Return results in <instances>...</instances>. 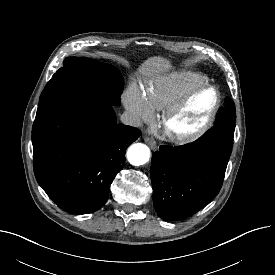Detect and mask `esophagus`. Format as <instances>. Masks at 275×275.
I'll use <instances>...</instances> for the list:
<instances>
[{
  "label": "esophagus",
  "mask_w": 275,
  "mask_h": 275,
  "mask_svg": "<svg viewBox=\"0 0 275 275\" xmlns=\"http://www.w3.org/2000/svg\"><path fill=\"white\" fill-rule=\"evenodd\" d=\"M145 142L150 146L151 149H156L157 145L156 142L154 141L153 138L149 137V136H145L144 137Z\"/></svg>",
  "instance_id": "obj_1"
}]
</instances>
